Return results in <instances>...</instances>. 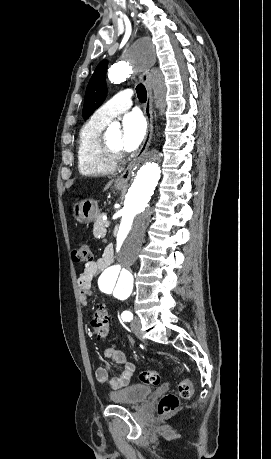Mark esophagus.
<instances>
[{"label": "esophagus", "instance_id": "1", "mask_svg": "<svg viewBox=\"0 0 271 459\" xmlns=\"http://www.w3.org/2000/svg\"><path fill=\"white\" fill-rule=\"evenodd\" d=\"M155 61L151 59V62ZM153 63H151L152 65ZM150 62L149 60H140L139 67L135 66V72L142 71V82L144 83L147 89V100L143 107V113L147 121V131L143 140V143L136 153L133 160L129 163L128 167L124 170V172L115 179V185H127L128 180L130 179L134 168L138 165V163L143 158L144 154L148 150V147L151 143L152 135H153V95H152V87L150 81Z\"/></svg>", "mask_w": 271, "mask_h": 459}]
</instances>
